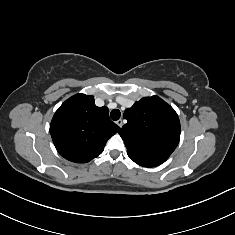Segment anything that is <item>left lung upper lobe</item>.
I'll use <instances>...</instances> for the list:
<instances>
[{
	"mask_svg": "<svg viewBox=\"0 0 235 235\" xmlns=\"http://www.w3.org/2000/svg\"><path fill=\"white\" fill-rule=\"evenodd\" d=\"M127 123L119 134L128 156L138 165L155 167L165 162L180 139L175 110L158 96L145 97L125 110Z\"/></svg>",
	"mask_w": 235,
	"mask_h": 235,
	"instance_id": "obj_1",
	"label": "left lung upper lobe"
}]
</instances>
